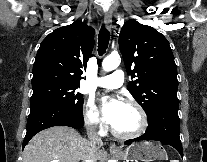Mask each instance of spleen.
<instances>
[{
    "label": "spleen",
    "instance_id": "3e777b00",
    "mask_svg": "<svg viewBox=\"0 0 207 162\" xmlns=\"http://www.w3.org/2000/svg\"><path fill=\"white\" fill-rule=\"evenodd\" d=\"M170 162H179L178 160H171Z\"/></svg>",
    "mask_w": 207,
    "mask_h": 162
}]
</instances>
